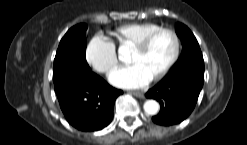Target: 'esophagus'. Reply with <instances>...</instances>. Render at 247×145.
<instances>
[{
    "mask_svg": "<svg viewBox=\"0 0 247 145\" xmlns=\"http://www.w3.org/2000/svg\"><path fill=\"white\" fill-rule=\"evenodd\" d=\"M128 93L142 99L145 97L144 93L141 91H129Z\"/></svg>",
    "mask_w": 247,
    "mask_h": 145,
    "instance_id": "obj_1",
    "label": "esophagus"
}]
</instances>
